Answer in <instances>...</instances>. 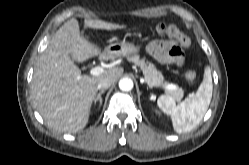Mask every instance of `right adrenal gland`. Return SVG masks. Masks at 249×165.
Here are the masks:
<instances>
[{
	"mask_svg": "<svg viewBox=\"0 0 249 165\" xmlns=\"http://www.w3.org/2000/svg\"><path fill=\"white\" fill-rule=\"evenodd\" d=\"M104 92H105V90H101V91L97 94V96H96L95 99H94V106H96L97 102H99V108L101 107V105H102V97H101V95H102Z\"/></svg>",
	"mask_w": 249,
	"mask_h": 165,
	"instance_id": "1",
	"label": "right adrenal gland"
}]
</instances>
